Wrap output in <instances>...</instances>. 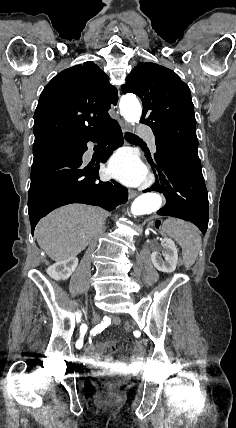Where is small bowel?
I'll return each mask as SVG.
<instances>
[{
    "instance_id": "1",
    "label": "small bowel",
    "mask_w": 236,
    "mask_h": 428,
    "mask_svg": "<svg viewBox=\"0 0 236 428\" xmlns=\"http://www.w3.org/2000/svg\"><path fill=\"white\" fill-rule=\"evenodd\" d=\"M119 317L106 316L100 324L91 330V336L100 333L104 328L110 325H118ZM113 342H101L95 348L89 342L85 349L84 360L93 366L115 367L123 370L137 369L144 359L145 348L140 342H136L133 348V355L129 359H116L112 352L114 350Z\"/></svg>"
}]
</instances>
